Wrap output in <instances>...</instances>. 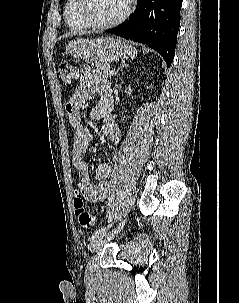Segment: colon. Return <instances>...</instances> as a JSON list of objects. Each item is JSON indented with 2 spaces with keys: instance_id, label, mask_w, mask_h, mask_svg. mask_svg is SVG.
I'll list each match as a JSON object with an SVG mask.
<instances>
[{
  "instance_id": "5ec220e1",
  "label": "colon",
  "mask_w": 239,
  "mask_h": 303,
  "mask_svg": "<svg viewBox=\"0 0 239 303\" xmlns=\"http://www.w3.org/2000/svg\"><path fill=\"white\" fill-rule=\"evenodd\" d=\"M61 81L64 85L73 84L78 78L77 69L69 62H62L59 66ZM75 216L84 228L95 226V217L85 209L81 192L76 191L73 199Z\"/></svg>"
}]
</instances>
